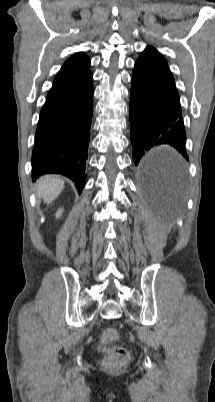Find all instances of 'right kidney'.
Listing matches in <instances>:
<instances>
[{
    "mask_svg": "<svg viewBox=\"0 0 215 402\" xmlns=\"http://www.w3.org/2000/svg\"><path fill=\"white\" fill-rule=\"evenodd\" d=\"M61 214H62V209H59V210L57 211V213H56V217H60Z\"/></svg>",
    "mask_w": 215,
    "mask_h": 402,
    "instance_id": "right-kidney-1",
    "label": "right kidney"
}]
</instances>
